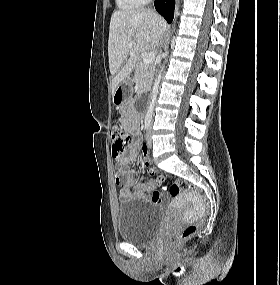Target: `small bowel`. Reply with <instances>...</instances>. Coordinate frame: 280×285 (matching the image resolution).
<instances>
[{"instance_id": "small-bowel-1", "label": "small bowel", "mask_w": 280, "mask_h": 285, "mask_svg": "<svg viewBox=\"0 0 280 285\" xmlns=\"http://www.w3.org/2000/svg\"><path fill=\"white\" fill-rule=\"evenodd\" d=\"M124 128L135 138L140 135L139 117L134 115L130 119L123 121ZM141 148V143L138 139L132 142L129 147V153L126 156L121 157L117 163V171L115 174V182L118 185H122L119 193L121 201H126L131 198L149 200L155 204H164L167 198L161 195L159 192L154 191V183L152 181H146L144 183L137 184L136 180L128 176L124 168L134 162L137 159L138 151ZM148 150L146 144H143L142 150ZM145 165L149 163L145 159Z\"/></svg>"}]
</instances>
